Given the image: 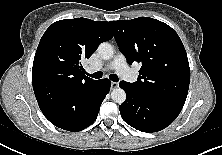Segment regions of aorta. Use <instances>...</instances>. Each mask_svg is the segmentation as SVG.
I'll use <instances>...</instances> for the list:
<instances>
[{
	"mask_svg": "<svg viewBox=\"0 0 222 155\" xmlns=\"http://www.w3.org/2000/svg\"><path fill=\"white\" fill-rule=\"evenodd\" d=\"M98 53L101 58L108 60L113 57L114 49L110 43H101L98 47ZM111 98L116 103H123L126 100V93L120 87L115 88L111 92Z\"/></svg>",
	"mask_w": 222,
	"mask_h": 155,
	"instance_id": "aorta-1",
	"label": "aorta"
}]
</instances>
